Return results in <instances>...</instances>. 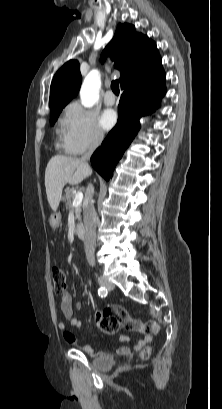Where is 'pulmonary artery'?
Instances as JSON below:
<instances>
[{
	"label": "pulmonary artery",
	"instance_id": "pulmonary-artery-1",
	"mask_svg": "<svg viewBox=\"0 0 222 409\" xmlns=\"http://www.w3.org/2000/svg\"><path fill=\"white\" fill-rule=\"evenodd\" d=\"M104 102L106 105L111 106L116 102L115 96L111 90H108L104 96Z\"/></svg>",
	"mask_w": 222,
	"mask_h": 409
}]
</instances>
